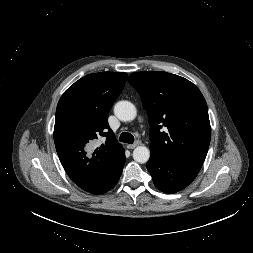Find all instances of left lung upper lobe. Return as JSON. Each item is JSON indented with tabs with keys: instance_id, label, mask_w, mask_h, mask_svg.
Wrapping results in <instances>:
<instances>
[{
	"instance_id": "obj_1",
	"label": "left lung upper lobe",
	"mask_w": 253,
	"mask_h": 253,
	"mask_svg": "<svg viewBox=\"0 0 253 253\" xmlns=\"http://www.w3.org/2000/svg\"><path fill=\"white\" fill-rule=\"evenodd\" d=\"M146 109L150 150L177 166L199 172L211 127L206 101L187 79L167 72H137L128 77Z\"/></svg>"
}]
</instances>
